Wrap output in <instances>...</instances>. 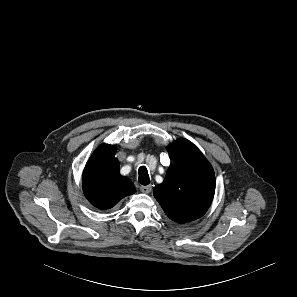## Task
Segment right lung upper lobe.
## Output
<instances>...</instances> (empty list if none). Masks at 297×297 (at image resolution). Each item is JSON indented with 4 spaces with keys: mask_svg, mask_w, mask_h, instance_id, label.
Returning a JSON list of instances; mask_svg holds the SVG:
<instances>
[{
    "mask_svg": "<svg viewBox=\"0 0 297 297\" xmlns=\"http://www.w3.org/2000/svg\"><path fill=\"white\" fill-rule=\"evenodd\" d=\"M114 145L103 144L91 155L83 171V191L95 207L106 210L135 192L131 180L119 173Z\"/></svg>",
    "mask_w": 297,
    "mask_h": 297,
    "instance_id": "obj_1",
    "label": "right lung upper lobe"
}]
</instances>
